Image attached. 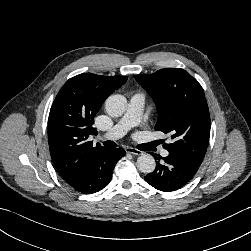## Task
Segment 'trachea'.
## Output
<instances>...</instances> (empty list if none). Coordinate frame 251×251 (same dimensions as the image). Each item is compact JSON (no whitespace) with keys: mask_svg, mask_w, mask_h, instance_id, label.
Listing matches in <instances>:
<instances>
[{"mask_svg":"<svg viewBox=\"0 0 251 251\" xmlns=\"http://www.w3.org/2000/svg\"><path fill=\"white\" fill-rule=\"evenodd\" d=\"M103 145L106 147H117V144L113 141H110V140L104 141Z\"/></svg>","mask_w":251,"mask_h":251,"instance_id":"trachea-1","label":"trachea"}]
</instances>
